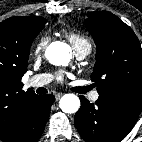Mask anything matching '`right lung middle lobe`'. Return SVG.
Instances as JSON below:
<instances>
[{
	"instance_id": "1",
	"label": "right lung middle lobe",
	"mask_w": 142,
	"mask_h": 142,
	"mask_svg": "<svg viewBox=\"0 0 142 142\" xmlns=\"http://www.w3.org/2000/svg\"><path fill=\"white\" fill-rule=\"evenodd\" d=\"M40 30H41V29H40ZM40 30L35 33V35L33 36V38L37 36V34L40 32ZM31 42H33V39L31 40Z\"/></svg>"
}]
</instances>
